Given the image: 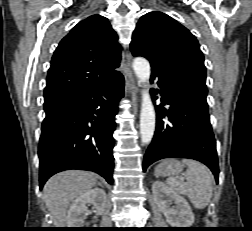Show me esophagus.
Instances as JSON below:
<instances>
[{
    "mask_svg": "<svg viewBox=\"0 0 252 231\" xmlns=\"http://www.w3.org/2000/svg\"><path fill=\"white\" fill-rule=\"evenodd\" d=\"M129 60H130V54H127V63H126V67L129 70ZM129 79L127 80V87H128V91L131 94H134L135 96L138 93V86L139 83L135 80V78L133 77L132 73H129Z\"/></svg>",
    "mask_w": 252,
    "mask_h": 231,
    "instance_id": "1",
    "label": "esophagus"
}]
</instances>
